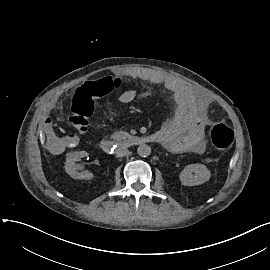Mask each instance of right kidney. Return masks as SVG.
<instances>
[{"label": "right kidney", "instance_id": "ca27d5eb", "mask_svg": "<svg viewBox=\"0 0 270 270\" xmlns=\"http://www.w3.org/2000/svg\"><path fill=\"white\" fill-rule=\"evenodd\" d=\"M86 156H88L86 151L70 152L66 154L65 170L73 179L89 180L93 178V174L88 171L80 173L77 171V165L75 164V161Z\"/></svg>", "mask_w": 270, "mask_h": 270}]
</instances>
